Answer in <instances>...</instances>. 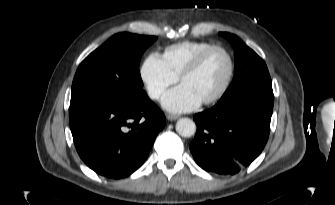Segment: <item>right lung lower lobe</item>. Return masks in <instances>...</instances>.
I'll list each match as a JSON object with an SVG mask.
<instances>
[{
	"mask_svg": "<svg viewBox=\"0 0 335 205\" xmlns=\"http://www.w3.org/2000/svg\"><path fill=\"white\" fill-rule=\"evenodd\" d=\"M76 150L96 173L123 178L147 158L165 125L163 112L146 93L130 100L88 99L70 104Z\"/></svg>",
	"mask_w": 335,
	"mask_h": 205,
	"instance_id": "right-lung-lower-lobe-1",
	"label": "right lung lower lobe"
}]
</instances>
